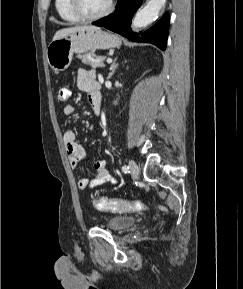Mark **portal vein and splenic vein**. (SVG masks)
<instances>
[{
	"label": "portal vein and splenic vein",
	"mask_w": 243,
	"mask_h": 289,
	"mask_svg": "<svg viewBox=\"0 0 243 289\" xmlns=\"http://www.w3.org/2000/svg\"><path fill=\"white\" fill-rule=\"evenodd\" d=\"M106 62H107V63H111V62H112V59H111V58H108V59L106 60Z\"/></svg>",
	"instance_id": "portal-vein-and-splenic-vein-1"
}]
</instances>
